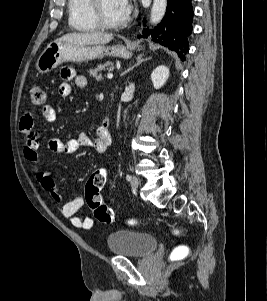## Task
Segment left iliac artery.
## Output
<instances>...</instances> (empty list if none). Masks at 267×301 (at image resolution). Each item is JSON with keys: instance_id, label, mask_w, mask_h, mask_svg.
Wrapping results in <instances>:
<instances>
[{"instance_id": "obj_1", "label": "left iliac artery", "mask_w": 267, "mask_h": 301, "mask_svg": "<svg viewBox=\"0 0 267 301\" xmlns=\"http://www.w3.org/2000/svg\"><path fill=\"white\" fill-rule=\"evenodd\" d=\"M126 179H127L128 181H130V180H131V175L128 174V175L126 176Z\"/></svg>"}]
</instances>
